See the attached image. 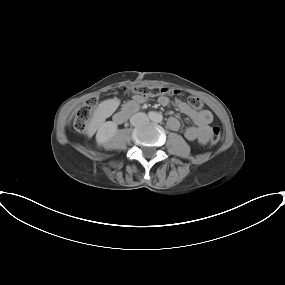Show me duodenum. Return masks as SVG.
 I'll return each mask as SVG.
<instances>
[{"mask_svg": "<svg viewBox=\"0 0 285 285\" xmlns=\"http://www.w3.org/2000/svg\"><path fill=\"white\" fill-rule=\"evenodd\" d=\"M138 109V106L133 103H127L116 115H115V121L117 123H124L129 116L134 114L136 110Z\"/></svg>", "mask_w": 285, "mask_h": 285, "instance_id": "1", "label": "duodenum"}]
</instances>
